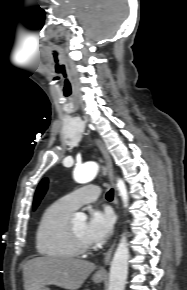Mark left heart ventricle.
Wrapping results in <instances>:
<instances>
[{
    "instance_id": "b2bd125f",
    "label": "left heart ventricle",
    "mask_w": 187,
    "mask_h": 290,
    "mask_svg": "<svg viewBox=\"0 0 187 290\" xmlns=\"http://www.w3.org/2000/svg\"><path fill=\"white\" fill-rule=\"evenodd\" d=\"M72 228L74 229L75 233L86 243H89L85 236L86 230V223L84 221H72L71 222ZM90 244V243H89Z\"/></svg>"
}]
</instances>
